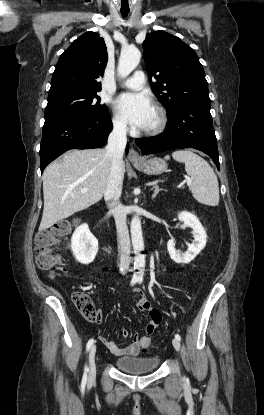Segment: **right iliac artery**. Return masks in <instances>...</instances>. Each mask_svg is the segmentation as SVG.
Instances as JSON below:
<instances>
[{
	"label": "right iliac artery",
	"mask_w": 264,
	"mask_h": 415,
	"mask_svg": "<svg viewBox=\"0 0 264 415\" xmlns=\"http://www.w3.org/2000/svg\"><path fill=\"white\" fill-rule=\"evenodd\" d=\"M135 269H137V268L134 267L133 270H135ZM137 281H138V279L136 277H133L132 280H131V285H134ZM93 343H94V339L93 338H91L87 342V345H86L87 352L89 351V349L91 348V346L93 345ZM87 371H88V368L85 365L84 374H83V378H82V385L83 386H85L86 385V382H87Z\"/></svg>",
	"instance_id": "obj_1"
}]
</instances>
